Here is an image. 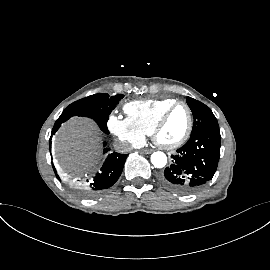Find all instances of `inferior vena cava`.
I'll return each mask as SVG.
<instances>
[{
  "instance_id": "602c4592",
  "label": "inferior vena cava",
  "mask_w": 270,
  "mask_h": 270,
  "mask_svg": "<svg viewBox=\"0 0 270 270\" xmlns=\"http://www.w3.org/2000/svg\"><path fill=\"white\" fill-rule=\"evenodd\" d=\"M114 148L119 153H127L131 150V146L128 143H124L118 140L114 142Z\"/></svg>"
}]
</instances>
